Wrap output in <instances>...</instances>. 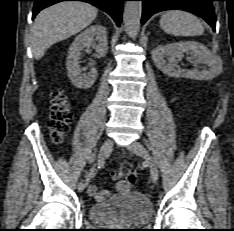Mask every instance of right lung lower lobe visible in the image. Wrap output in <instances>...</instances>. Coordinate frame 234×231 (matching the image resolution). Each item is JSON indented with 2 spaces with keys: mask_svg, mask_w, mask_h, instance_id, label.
Returning <instances> with one entry per match:
<instances>
[{
  "mask_svg": "<svg viewBox=\"0 0 234 231\" xmlns=\"http://www.w3.org/2000/svg\"><path fill=\"white\" fill-rule=\"evenodd\" d=\"M33 18L44 8L61 1H85L108 13L120 26L122 19V1L124 0H34Z\"/></svg>",
  "mask_w": 234,
  "mask_h": 231,
  "instance_id": "98d812e1",
  "label": "right lung lower lobe"
}]
</instances>
